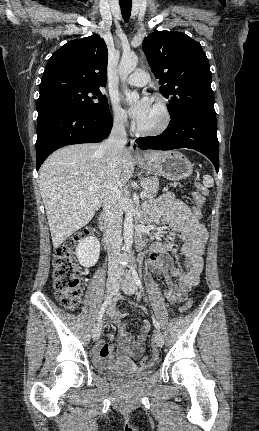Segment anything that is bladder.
<instances>
[{"label":"bladder","mask_w":259,"mask_h":431,"mask_svg":"<svg viewBox=\"0 0 259 431\" xmlns=\"http://www.w3.org/2000/svg\"><path fill=\"white\" fill-rule=\"evenodd\" d=\"M101 373L121 380H136L153 373L152 368H139L132 363L118 362L114 365L103 367Z\"/></svg>","instance_id":"bladder-1"}]
</instances>
